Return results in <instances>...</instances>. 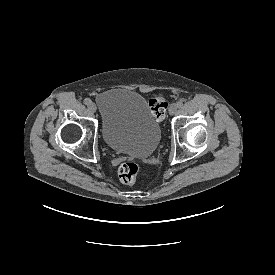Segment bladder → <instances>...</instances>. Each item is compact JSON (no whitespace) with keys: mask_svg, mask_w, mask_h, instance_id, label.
Masks as SVG:
<instances>
[{"mask_svg":"<svg viewBox=\"0 0 275 275\" xmlns=\"http://www.w3.org/2000/svg\"><path fill=\"white\" fill-rule=\"evenodd\" d=\"M96 104L102 120L103 139L112 150L135 158H147L154 152L161 128L140 94L114 89L100 94Z\"/></svg>","mask_w":275,"mask_h":275,"instance_id":"1","label":"bladder"}]
</instances>
